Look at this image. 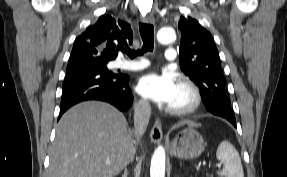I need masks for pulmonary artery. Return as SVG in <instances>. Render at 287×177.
<instances>
[{
    "instance_id": "e3ab8cb5",
    "label": "pulmonary artery",
    "mask_w": 287,
    "mask_h": 177,
    "mask_svg": "<svg viewBox=\"0 0 287 177\" xmlns=\"http://www.w3.org/2000/svg\"><path fill=\"white\" fill-rule=\"evenodd\" d=\"M175 48L174 47H168L164 54V59L166 65H172L175 62ZM147 66L146 61L141 57L138 61L135 62H128L121 60L117 63V67L124 69V70H130V71H137L145 68Z\"/></svg>"
}]
</instances>
